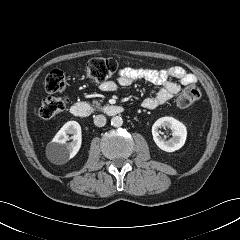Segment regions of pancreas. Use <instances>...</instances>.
I'll list each match as a JSON object with an SVG mask.
<instances>
[{
    "label": "pancreas",
    "instance_id": "pancreas-1",
    "mask_svg": "<svg viewBox=\"0 0 240 240\" xmlns=\"http://www.w3.org/2000/svg\"><path fill=\"white\" fill-rule=\"evenodd\" d=\"M92 103H93L94 106H96V107H100L102 101H101V100H100V101L94 100Z\"/></svg>",
    "mask_w": 240,
    "mask_h": 240
}]
</instances>
